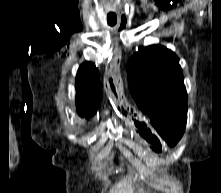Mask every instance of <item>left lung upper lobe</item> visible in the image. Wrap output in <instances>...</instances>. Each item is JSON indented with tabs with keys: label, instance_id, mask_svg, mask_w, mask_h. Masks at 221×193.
Masks as SVG:
<instances>
[{
	"label": "left lung upper lobe",
	"instance_id": "left-lung-upper-lobe-1",
	"mask_svg": "<svg viewBox=\"0 0 221 193\" xmlns=\"http://www.w3.org/2000/svg\"><path fill=\"white\" fill-rule=\"evenodd\" d=\"M127 75L139 108L161 137L176 145L187 121V93L178 57L161 45L142 47L129 59Z\"/></svg>",
	"mask_w": 221,
	"mask_h": 193
}]
</instances>
